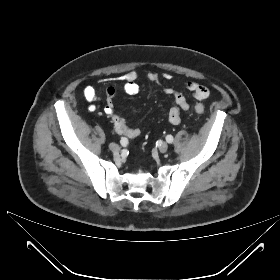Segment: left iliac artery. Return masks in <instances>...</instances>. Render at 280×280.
I'll use <instances>...</instances> for the list:
<instances>
[{"mask_svg":"<svg viewBox=\"0 0 280 280\" xmlns=\"http://www.w3.org/2000/svg\"><path fill=\"white\" fill-rule=\"evenodd\" d=\"M166 141H167L168 143H172V142H173V136L167 135V136H166Z\"/></svg>","mask_w":280,"mask_h":280,"instance_id":"left-iliac-artery-1","label":"left iliac artery"}]
</instances>
